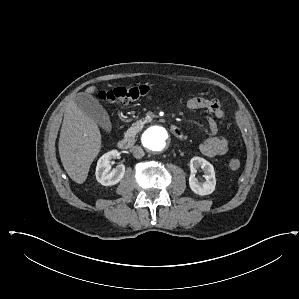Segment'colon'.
Masks as SVG:
<instances>
[{"label": "colon", "mask_w": 299, "mask_h": 299, "mask_svg": "<svg viewBox=\"0 0 299 299\" xmlns=\"http://www.w3.org/2000/svg\"><path fill=\"white\" fill-rule=\"evenodd\" d=\"M150 87L145 84H140L131 87H115L100 91V98L110 104H128L132 101L147 96L150 93ZM241 166V161L237 158L229 160V167L232 170H238Z\"/></svg>", "instance_id": "5ec220e1"}]
</instances>
